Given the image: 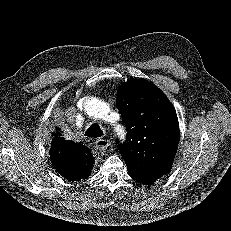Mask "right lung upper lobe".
I'll use <instances>...</instances> for the list:
<instances>
[{"mask_svg": "<svg viewBox=\"0 0 231 231\" xmlns=\"http://www.w3.org/2000/svg\"><path fill=\"white\" fill-rule=\"evenodd\" d=\"M57 131L50 148V158L57 172L67 180L78 181L87 178L94 164L91 151L83 144H76L71 140H64Z\"/></svg>", "mask_w": 231, "mask_h": 231, "instance_id": "cb5924a9", "label": "right lung upper lobe"}]
</instances>
